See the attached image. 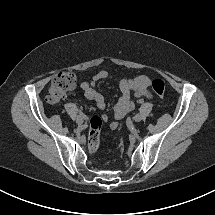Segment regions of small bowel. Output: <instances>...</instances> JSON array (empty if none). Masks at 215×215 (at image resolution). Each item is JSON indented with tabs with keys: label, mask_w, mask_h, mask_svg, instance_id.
<instances>
[{
	"label": "small bowel",
	"mask_w": 215,
	"mask_h": 215,
	"mask_svg": "<svg viewBox=\"0 0 215 215\" xmlns=\"http://www.w3.org/2000/svg\"><path fill=\"white\" fill-rule=\"evenodd\" d=\"M110 78V73L107 70H100L93 75L90 81H84L80 84V89L84 96L93 101L98 109L105 108V99L97 90V84ZM122 92L121 97L114 107L115 120L110 122V128L115 130L119 126V122L125 115L134 107L131 96L152 98L150 91V79L147 76L140 75L134 78L122 79L119 83ZM107 120V116H103Z\"/></svg>",
	"instance_id": "obj_1"
}]
</instances>
